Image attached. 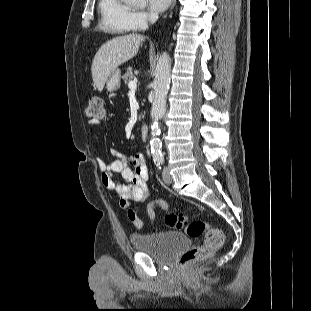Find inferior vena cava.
I'll use <instances>...</instances> for the list:
<instances>
[{"instance_id":"602c4592","label":"inferior vena cava","mask_w":311,"mask_h":311,"mask_svg":"<svg viewBox=\"0 0 311 311\" xmlns=\"http://www.w3.org/2000/svg\"><path fill=\"white\" fill-rule=\"evenodd\" d=\"M158 19V16L156 14H151L149 17V20L151 23H154Z\"/></svg>"}]
</instances>
